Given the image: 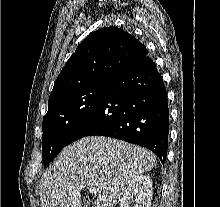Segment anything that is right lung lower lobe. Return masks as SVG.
<instances>
[{
    "instance_id": "98d812e1",
    "label": "right lung lower lobe",
    "mask_w": 220,
    "mask_h": 207,
    "mask_svg": "<svg viewBox=\"0 0 220 207\" xmlns=\"http://www.w3.org/2000/svg\"><path fill=\"white\" fill-rule=\"evenodd\" d=\"M168 119L163 79L146 55L107 82L98 104L71 135L70 143L92 135L113 137L150 149L164 163Z\"/></svg>"
}]
</instances>
